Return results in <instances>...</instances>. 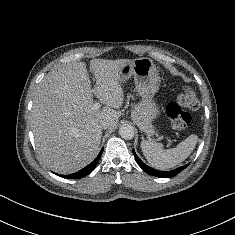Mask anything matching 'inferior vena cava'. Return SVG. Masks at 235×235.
Returning a JSON list of instances; mask_svg holds the SVG:
<instances>
[{
    "instance_id": "602c4592",
    "label": "inferior vena cava",
    "mask_w": 235,
    "mask_h": 235,
    "mask_svg": "<svg viewBox=\"0 0 235 235\" xmlns=\"http://www.w3.org/2000/svg\"><path fill=\"white\" fill-rule=\"evenodd\" d=\"M108 126H109V125H108L107 122H102L101 125H100V127H101L102 129H107Z\"/></svg>"
}]
</instances>
